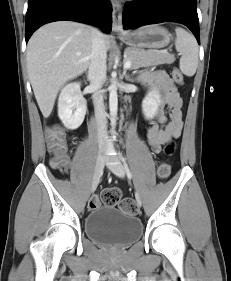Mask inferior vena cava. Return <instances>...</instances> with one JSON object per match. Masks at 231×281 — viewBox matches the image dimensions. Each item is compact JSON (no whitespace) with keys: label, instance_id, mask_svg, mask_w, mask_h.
Returning a JSON list of instances; mask_svg holds the SVG:
<instances>
[{"label":"inferior vena cava","instance_id":"602c4592","mask_svg":"<svg viewBox=\"0 0 231 281\" xmlns=\"http://www.w3.org/2000/svg\"><path fill=\"white\" fill-rule=\"evenodd\" d=\"M106 78V46L103 34L93 28L92 52L88 70V80L93 90V103L98 130V144L102 148L106 146V113L104 110L101 87Z\"/></svg>","mask_w":231,"mask_h":281}]
</instances>
